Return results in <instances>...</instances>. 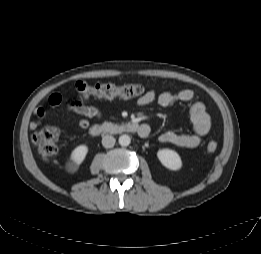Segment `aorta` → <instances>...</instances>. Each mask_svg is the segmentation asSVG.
<instances>
[{"mask_svg": "<svg viewBox=\"0 0 261 254\" xmlns=\"http://www.w3.org/2000/svg\"><path fill=\"white\" fill-rule=\"evenodd\" d=\"M118 141L121 146H128L131 143V138L128 135L123 134L119 137Z\"/></svg>", "mask_w": 261, "mask_h": 254, "instance_id": "1", "label": "aorta"}]
</instances>
